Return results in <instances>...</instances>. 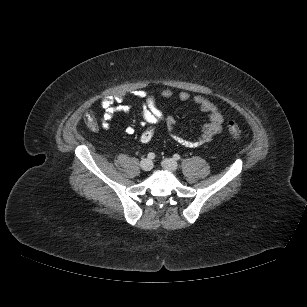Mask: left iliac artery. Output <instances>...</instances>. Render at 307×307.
Here are the masks:
<instances>
[{
	"label": "left iliac artery",
	"instance_id": "left-iliac-artery-1",
	"mask_svg": "<svg viewBox=\"0 0 307 307\" xmlns=\"http://www.w3.org/2000/svg\"><path fill=\"white\" fill-rule=\"evenodd\" d=\"M173 159L179 160V159H180V155H179V154H174V155H173Z\"/></svg>",
	"mask_w": 307,
	"mask_h": 307
}]
</instances>
